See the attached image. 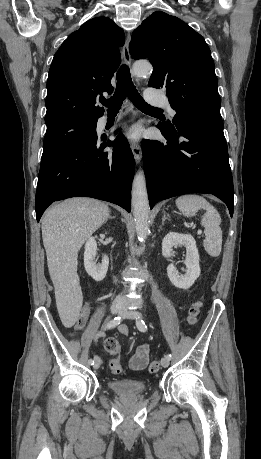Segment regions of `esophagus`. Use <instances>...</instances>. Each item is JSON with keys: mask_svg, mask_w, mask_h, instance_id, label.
<instances>
[{"mask_svg": "<svg viewBox=\"0 0 261 459\" xmlns=\"http://www.w3.org/2000/svg\"><path fill=\"white\" fill-rule=\"evenodd\" d=\"M130 41H131V35L128 34L127 37H126V41H125V44L123 46V49H122V58L124 60V62L130 66L131 65V55H130V51H129V44H130ZM136 83L138 84V80L136 79ZM131 150H132V153H133V156H134V159L136 161V163H140V160H141V156H142V151H141V146L138 142H133L132 145H131Z\"/></svg>", "mask_w": 261, "mask_h": 459, "instance_id": "esophagus-1", "label": "esophagus"}]
</instances>
